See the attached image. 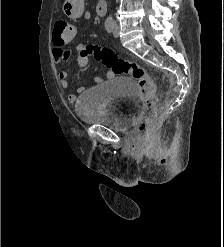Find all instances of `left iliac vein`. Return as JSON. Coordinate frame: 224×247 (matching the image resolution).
<instances>
[{
	"instance_id": "4c4485c4",
	"label": "left iliac vein",
	"mask_w": 224,
	"mask_h": 247,
	"mask_svg": "<svg viewBox=\"0 0 224 247\" xmlns=\"http://www.w3.org/2000/svg\"><path fill=\"white\" fill-rule=\"evenodd\" d=\"M113 35H114V37L119 36V25L118 24L114 25Z\"/></svg>"
}]
</instances>
